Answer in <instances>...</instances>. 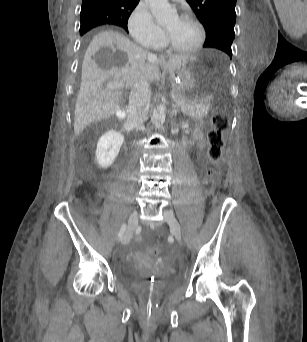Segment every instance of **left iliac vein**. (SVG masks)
Listing matches in <instances>:
<instances>
[{"instance_id":"4c4485c4","label":"left iliac vein","mask_w":307,"mask_h":342,"mask_svg":"<svg viewBox=\"0 0 307 342\" xmlns=\"http://www.w3.org/2000/svg\"><path fill=\"white\" fill-rule=\"evenodd\" d=\"M164 218H165L166 222L168 223L170 230H171V233L173 234L175 239L178 242H181V237H182L181 227H180L178 220L174 216L173 212L165 211L164 212Z\"/></svg>"}]
</instances>
